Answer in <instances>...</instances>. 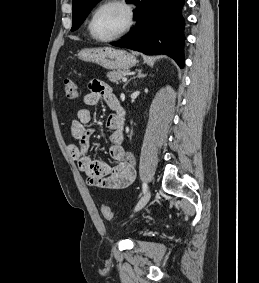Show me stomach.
<instances>
[{"label":"stomach","instance_id":"obj_1","mask_svg":"<svg viewBox=\"0 0 259 283\" xmlns=\"http://www.w3.org/2000/svg\"><path fill=\"white\" fill-rule=\"evenodd\" d=\"M78 57L113 70H127L136 64L134 55L112 47L85 48L78 52Z\"/></svg>","mask_w":259,"mask_h":283}]
</instances>
